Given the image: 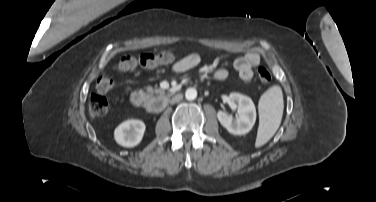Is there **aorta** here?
<instances>
[{"mask_svg": "<svg viewBox=\"0 0 376 202\" xmlns=\"http://www.w3.org/2000/svg\"><path fill=\"white\" fill-rule=\"evenodd\" d=\"M187 100H194L197 97V90L195 88H188L185 92Z\"/></svg>", "mask_w": 376, "mask_h": 202, "instance_id": "obj_1", "label": "aorta"}]
</instances>
